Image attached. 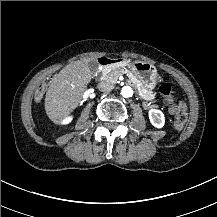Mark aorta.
Masks as SVG:
<instances>
[{
    "label": "aorta",
    "mask_w": 217,
    "mask_h": 217,
    "mask_svg": "<svg viewBox=\"0 0 217 217\" xmlns=\"http://www.w3.org/2000/svg\"><path fill=\"white\" fill-rule=\"evenodd\" d=\"M121 95L125 98L133 96V89L130 86H124L121 90Z\"/></svg>",
    "instance_id": "aorta-1"
}]
</instances>
